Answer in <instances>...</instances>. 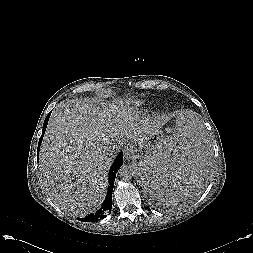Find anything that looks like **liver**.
<instances>
[{"mask_svg":"<svg viewBox=\"0 0 253 253\" xmlns=\"http://www.w3.org/2000/svg\"><path fill=\"white\" fill-rule=\"evenodd\" d=\"M167 121L140 119L124 107L89 99L61 101L53 110L43 138L39 170L52 202L73 215L94 212L104 201L108 170L125 138L143 145Z\"/></svg>","mask_w":253,"mask_h":253,"instance_id":"6515ba94","label":"liver"}]
</instances>
